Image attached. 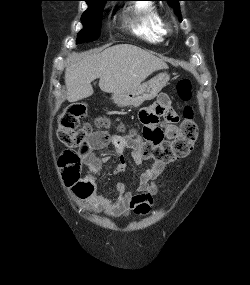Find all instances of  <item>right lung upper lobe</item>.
Here are the masks:
<instances>
[{"label": "right lung upper lobe", "instance_id": "cb5924a9", "mask_svg": "<svg viewBox=\"0 0 250 285\" xmlns=\"http://www.w3.org/2000/svg\"><path fill=\"white\" fill-rule=\"evenodd\" d=\"M86 2H92V1H110V0H85Z\"/></svg>", "mask_w": 250, "mask_h": 285}]
</instances>
